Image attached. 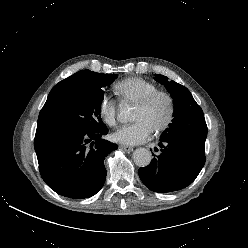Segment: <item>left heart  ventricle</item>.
<instances>
[{
  "label": "left heart ventricle",
  "instance_id": "1",
  "mask_svg": "<svg viewBox=\"0 0 248 248\" xmlns=\"http://www.w3.org/2000/svg\"><path fill=\"white\" fill-rule=\"evenodd\" d=\"M167 113V103L165 99H157L149 108L135 107L133 113L134 121H144L153 130L165 118Z\"/></svg>",
  "mask_w": 248,
  "mask_h": 248
}]
</instances>
